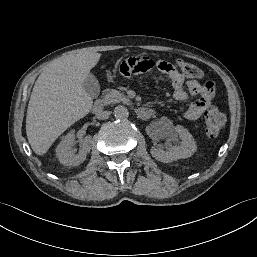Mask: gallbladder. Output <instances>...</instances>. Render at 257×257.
I'll use <instances>...</instances> for the list:
<instances>
[{"instance_id": "obj_1", "label": "gallbladder", "mask_w": 257, "mask_h": 257, "mask_svg": "<svg viewBox=\"0 0 257 257\" xmlns=\"http://www.w3.org/2000/svg\"><path fill=\"white\" fill-rule=\"evenodd\" d=\"M84 90L93 98L100 93V85L97 78L93 74H89L82 84Z\"/></svg>"}]
</instances>
